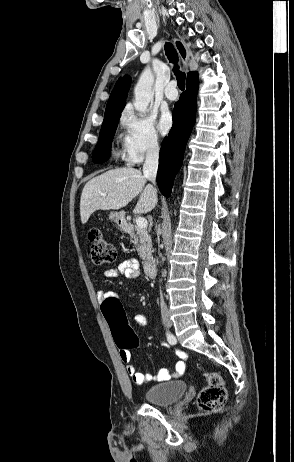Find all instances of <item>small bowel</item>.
<instances>
[{"instance_id":"c3829d8e","label":"small bowel","mask_w":294,"mask_h":462,"mask_svg":"<svg viewBox=\"0 0 294 462\" xmlns=\"http://www.w3.org/2000/svg\"><path fill=\"white\" fill-rule=\"evenodd\" d=\"M103 275L107 278L126 277L135 278L139 275V264L134 258H128L122 261L116 268L109 269L103 272ZM112 295L111 292L101 289L97 292V297L101 300ZM134 322L137 326H146L148 324V317L145 314H138L134 318ZM163 346L167 347L168 344L164 343ZM120 359L126 366L127 374L132 378L133 382L137 385H141L152 380L164 381L169 380L172 377L182 376L186 369L187 355L181 350L176 351V355L179 357V361L175 365V371L169 372L167 369H161L156 376L150 373H143L137 371L136 367L131 363V354L127 349H119Z\"/></svg>"}]
</instances>
